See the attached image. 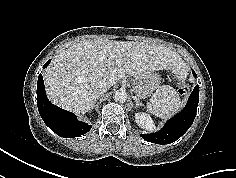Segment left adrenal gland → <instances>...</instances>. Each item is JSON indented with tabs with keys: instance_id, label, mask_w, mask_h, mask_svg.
Segmentation results:
<instances>
[{
	"instance_id": "a2214340",
	"label": "left adrenal gland",
	"mask_w": 236,
	"mask_h": 178,
	"mask_svg": "<svg viewBox=\"0 0 236 178\" xmlns=\"http://www.w3.org/2000/svg\"><path fill=\"white\" fill-rule=\"evenodd\" d=\"M135 101H136V104H135V107H136V108H137L138 106H142V105H143L139 100L135 99Z\"/></svg>"
}]
</instances>
